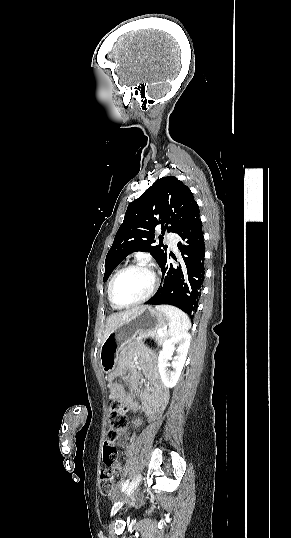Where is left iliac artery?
Masks as SVG:
<instances>
[{
	"mask_svg": "<svg viewBox=\"0 0 291 538\" xmlns=\"http://www.w3.org/2000/svg\"><path fill=\"white\" fill-rule=\"evenodd\" d=\"M128 484H129V479H127V480L125 481V483L123 484L122 489H121V492H124V491L126 490V488L128 487Z\"/></svg>",
	"mask_w": 291,
	"mask_h": 538,
	"instance_id": "44dca946",
	"label": "left iliac artery"
}]
</instances>
